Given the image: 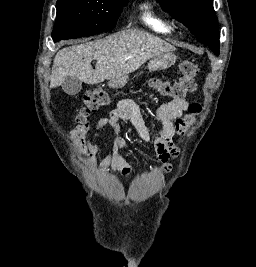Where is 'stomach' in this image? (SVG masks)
I'll return each mask as SVG.
<instances>
[{
  "label": "stomach",
  "mask_w": 256,
  "mask_h": 267,
  "mask_svg": "<svg viewBox=\"0 0 256 267\" xmlns=\"http://www.w3.org/2000/svg\"><path fill=\"white\" fill-rule=\"evenodd\" d=\"M176 60L175 54H172V52H165V54H161V56L153 60L152 67L156 68V70H165V68L173 66Z\"/></svg>",
  "instance_id": "1"
}]
</instances>
